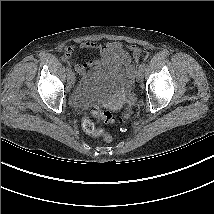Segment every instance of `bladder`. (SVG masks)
<instances>
[{
    "label": "bladder",
    "mask_w": 214,
    "mask_h": 214,
    "mask_svg": "<svg viewBox=\"0 0 214 214\" xmlns=\"http://www.w3.org/2000/svg\"><path fill=\"white\" fill-rule=\"evenodd\" d=\"M131 89L130 72L119 57L85 75L71 94L75 106L121 96Z\"/></svg>",
    "instance_id": "31cf9c89"
}]
</instances>
